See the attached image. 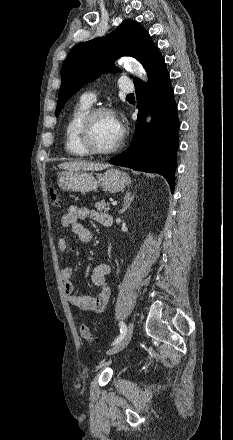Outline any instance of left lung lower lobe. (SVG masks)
Masks as SVG:
<instances>
[{
    "mask_svg": "<svg viewBox=\"0 0 233 440\" xmlns=\"http://www.w3.org/2000/svg\"><path fill=\"white\" fill-rule=\"evenodd\" d=\"M147 73L149 84L139 79L134 82L139 113L131 145L109 163L161 174L173 192L179 121L169 73L160 52L151 60ZM147 104L153 112L150 126L145 122Z\"/></svg>",
    "mask_w": 233,
    "mask_h": 440,
    "instance_id": "obj_1",
    "label": "left lung lower lobe"
}]
</instances>
